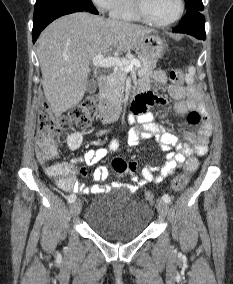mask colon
Here are the masks:
<instances>
[{
    "instance_id": "obj_1",
    "label": "colon",
    "mask_w": 233,
    "mask_h": 284,
    "mask_svg": "<svg viewBox=\"0 0 233 284\" xmlns=\"http://www.w3.org/2000/svg\"><path fill=\"white\" fill-rule=\"evenodd\" d=\"M170 80L175 85H180L184 81L183 72L179 69H173L170 72ZM97 111V100L95 97L85 98L79 105L72 108L66 115L55 117L48 104H43L38 115V129L35 143V153L41 163H49L57 156L58 136L71 128L87 127L93 120ZM203 120L202 113L193 109L187 116V121L191 125H198ZM199 166L195 157H189L186 161L185 171L178 175L172 182L175 191L183 190L188 182L190 175L194 173ZM112 167L117 173L124 174L128 168V162L122 158H114ZM148 203L154 201V195L148 192L145 195Z\"/></svg>"
}]
</instances>
